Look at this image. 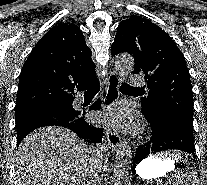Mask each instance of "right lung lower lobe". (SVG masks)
Wrapping results in <instances>:
<instances>
[{"mask_svg":"<svg viewBox=\"0 0 207 185\" xmlns=\"http://www.w3.org/2000/svg\"><path fill=\"white\" fill-rule=\"evenodd\" d=\"M98 85H99L98 80H95L89 85L81 87L78 90L83 91L89 86H98ZM74 98L75 97L73 96V98L69 102L71 103V105H72V102L74 101ZM100 108H101V102L100 100H97L96 102H94V104L91 105L89 110L100 109ZM75 111H76V114H78V117L71 119V120H66L64 118L66 116L71 115L72 113H65L63 114L64 118H61L57 115L42 116V117L32 118V119L23 121L19 124H16L17 146L21 143V141L26 135H28L33 130L43 127V126L65 127L75 132L82 139H90L94 143L101 142L103 129L94 127L92 124L88 123L85 118V112H81L78 110H75Z\"/></svg>","mask_w":207,"mask_h":185,"instance_id":"right-lung-lower-lobe-1","label":"right lung lower lobe"}]
</instances>
